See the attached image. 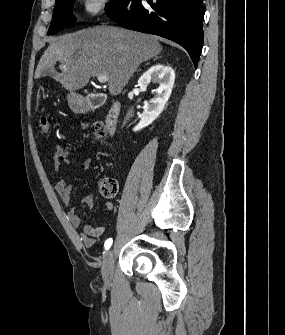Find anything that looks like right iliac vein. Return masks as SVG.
I'll return each instance as SVG.
<instances>
[{
  "instance_id": "63e3f726",
  "label": "right iliac vein",
  "mask_w": 285,
  "mask_h": 335,
  "mask_svg": "<svg viewBox=\"0 0 285 335\" xmlns=\"http://www.w3.org/2000/svg\"><path fill=\"white\" fill-rule=\"evenodd\" d=\"M113 266H114V251L110 249L105 254L102 269V276L106 284H110L112 281Z\"/></svg>"
}]
</instances>
